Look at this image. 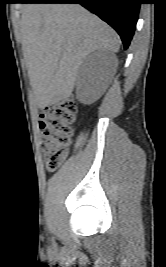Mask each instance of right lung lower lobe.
<instances>
[{
    "instance_id": "1",
    "label": "right lung lower lobe",
    "mask_w": 166,
    "mask_h": 267,
    "mask_svg": "<svg viewBox=\"0 0 166 267\" xmlns=\"http://www.w3.org/2000/svg\"><path fill=\"white\" fill-rule=\"evenodd\" d=\"M21 3H79L112 26L127 49L136 28L141 0H21Z\"/></svg>"
}]
</instances>
